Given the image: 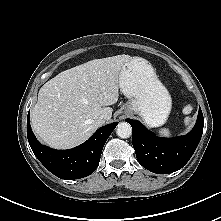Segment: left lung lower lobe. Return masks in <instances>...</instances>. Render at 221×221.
Wrapping results in <instances>:
<instances>
[{"label":"left lung lower lobe","mask_w":221,"mask_h":221,"mask_svg":"<svg viewBox=\"0 0 221 221\" xmlns=\"http://www.w3.org/2000/svg\"><path fill=\"white\" fill-rule=\"evenodd\" d=\"M132 126V143L138 162L151 172L168 174L182 168L195 152L202 133L204 119L199 108L194 128L185 136L160 138L139 121L126 119Z\"/></svg>","instance_id":"1"}]
</instances>
